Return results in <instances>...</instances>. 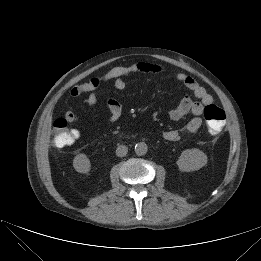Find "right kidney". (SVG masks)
I'll list each match as a JSON object with an SVG mask.
<instances>
[{
	"label": "right kidney",
	"instance_id": "obj_1",
	"mask_svg": "<svg viewBox=\"0 0 261 261\" xmlns=\"http://www.w3.org/2000/svg\"><path fill=\"white\" fill-rule=\"evenodd\" d=\"M73 167L79 173H88L91 169V163L89 158L81 153L74 157Z\"/></svg>",
	"mask_w": 261,
	"mask_h": 261
}]
</instances>
